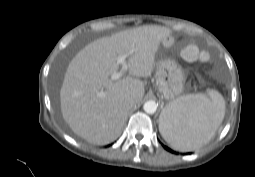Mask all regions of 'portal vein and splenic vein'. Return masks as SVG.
<instances>
[{
  "mask_svg": "<svg viewBox=\"0 0 255 177\" xmlns=\"http://www.w3.org/2000/svg\"><path fill=\"white\" fill-rule=\"evenodd\" d=\"M126 57H127V55L117 56V58H116L117 63L122 65V70L120 72H114L111 75L112 80H118L119 78H121L127 72L128 65H127V62H126ZM97 96L104 97V96H106V93L104 91H100V92L97 93Z\"/></svg>",
  "mask_w": 255,
  "mask_h": 177,
  "instance_id": "portal-vein-and-splenic-vein-1",
  "label": "portal vein and splenic vein"
}]
</instances>
